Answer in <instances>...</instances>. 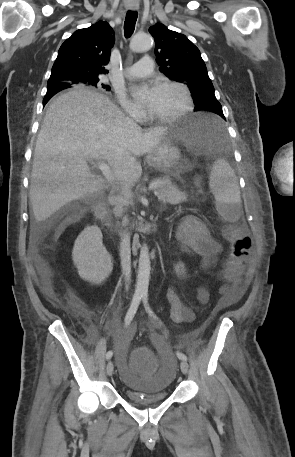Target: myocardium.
<instances>
[{
    "mask_svg": "<svg viewBox=\"0 0 295 457\" xmlns=\"http://www.w3.org/2000/svg\"><path fill=\"white\" fill-rule=\"evenodd\" d=\"M159 86H171L178 88L183 95L184 105L178 112L167 116H158L153 114L150 110H148L147 114L150 120L163 123L172 122L184 117L191 111L193 107V99L190 90L185 84L178 81L161 80L159 81Z\"/></svg>",
    "mask_w": 295,
    "mask_h": 457,
    "instance_id": "f54148a6",
    "label": "myocardium"
}]
</instances>
